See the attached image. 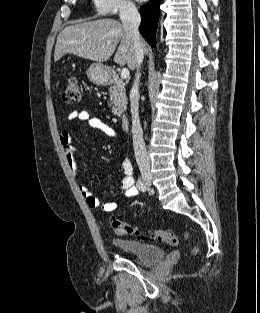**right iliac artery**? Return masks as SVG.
I'll use <instances>...</instances> for the list:
<instances>
[{
    "label": "right iliac artery",
    "mask_w": 260,
    "mask_h": 313,
    "mask_svg": "<svg viewBox=\"0 0 260 313\" xmlns=\"http://www.w3.org/2000/svg\"><path fill=\"white\" fill-rule=\"evenodd\" d=\"M137 187L139 190H141L143 192L146 191V184L144 183V181L141 178H139L137 181Z\"/></svg>",
    "instance_id": "1"
}]
</instances>
